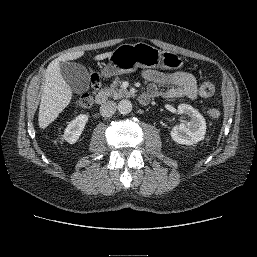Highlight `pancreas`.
I'll return each mask as SVG.
<instances>
[{
	"label": "pancreas",
	"instance_id": "1",
	"mask_svg": "<svg viewBox=\"0 0 257 257\" xmlns=\"http://www.w3.org/2000/svg\"><path fill=\"white\" fill-rule=\"evenodd\" d=\"M120 83L121 82L116 79L110 87H105L102 91L107 96L112 97L113 99H119L121 97L129 96V92L126 89L119 87Z\"/></svg>",
	"mask_w": 257,
	"mask_h": 257
}]
</instances>
